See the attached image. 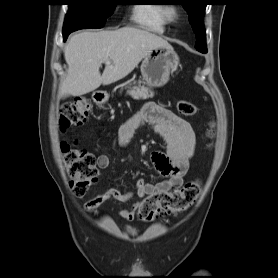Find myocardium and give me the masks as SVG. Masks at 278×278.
<instances>
[{
  "label": "myocardium",
  "mask_w": 278,
  "mask_h": 278,
  "mask_svg": "<svg viewBox=\"0 0 278 278\" xmlns=\"http://www.w3.org/2000/svg\"><path fill=\"white\" fill-rule=\"evenodd\" d=\"M164 17L167 22L173 23L176 22L181 16V8L176 5H170L164 7Z\"/></svg>",
  "instance_id": "myocardium-1"
}]
</instances>
